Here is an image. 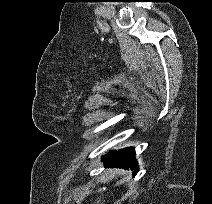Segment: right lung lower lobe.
<instances>
[{
    "label": "right lung lower lobe",
    "instance_id": "98d812e1",
    "mask_svg": "<svg viewBox=\"0 0 212 204\" xmlns=\"http://www.w3.org/2000/svg\"><path fill=\"white\" fill-rule=\"evenodd\" d=\"M135 150L133 147H128L119 151H111L104 156V161L107 166H113L124 169H134L133 175L138 172V166L134 159Z\"/></svg>",
    "mask_w": 212,
    "mask_h": 204
}]
</instances>
